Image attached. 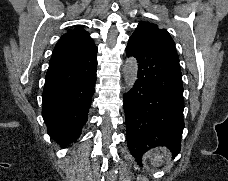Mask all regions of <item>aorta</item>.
Masks as SVG:
<instances>
[{"instance_id":"762f6f07","label":"aorta","mask_w":228,"mask_h":181,"mask_svg":"<svg viewBox=\"0 0 228 181\" xmlns=\"http://www.w3.org/2000/svg\"><path fill=\"white\" fill-rule=\"evenodd\" d=\"M124 81L127 89L133 88L138 74V63L136 58L129 57L123 65Z\"/></svg>"}]
</instances>
